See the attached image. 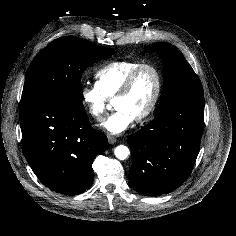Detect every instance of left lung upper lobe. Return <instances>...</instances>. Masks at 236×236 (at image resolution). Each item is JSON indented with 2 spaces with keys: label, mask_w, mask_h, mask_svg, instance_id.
<instances>
[{
  "label": "left lung upper lobe",
  "mask_w": 236,
  "mask_h": 236,
  "mask_svg": "<svg viewBox=\"0 0 236 236\" xmlns=\"http://www.w3.org/2000/svg\"><path fill=\"white\" fill-rule=\"evenodd\" d=\"M156 52L163 61L164 86L156 116L181 103L204 102L200 79L182 53L169 43L147 46L142 55Z\"/></svg>",
  "instance_id": "5c2ea615"
}]
</instances>
